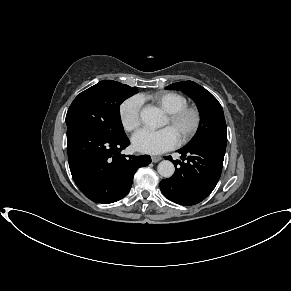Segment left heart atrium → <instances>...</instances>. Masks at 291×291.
Masks as SVG:
<instances>
[{
  "mask_svg": "<svg viewBox=\"0 0 291 291\" xmlns=\"http://www.w3.org/2000/svg\"><path fill=\"white\" fill-rule=\"evenodd\" d=\"M179 139L170 127L160 130L142 129L132 137V146L136 151L145 154H161L175 148Z\"/></svg>",
  "mask_w": 291,
  "mask_h": 291,
  "instance_id": "1",
  "label": "left heart atrium"
}]
</instances>
